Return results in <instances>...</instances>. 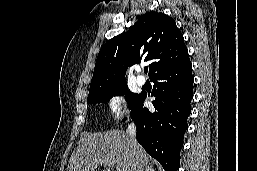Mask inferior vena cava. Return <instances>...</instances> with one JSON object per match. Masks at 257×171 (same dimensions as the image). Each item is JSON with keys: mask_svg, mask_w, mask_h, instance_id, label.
I'll use <instances>...</instances> for the list:
<instances>
[{"mask_svg": "<svg viewBox=\"0 0 257 171\" xmlns=\"http://www.w3.org/2000/svg\"><path fill=\"white\" fill-rule=\"evenodd\" d=\"M136 125L134 123H131L128 125L127 133L131 140L132 150V165H131V171H143V167L141 166L139 162V157L137 154V140H136Z\"/></svg>", "mask_w": 257, "mask_h": 171, "instance_id": "inferior-vena-cava-1", "label": "inferior vena cava"}]
</instances>
